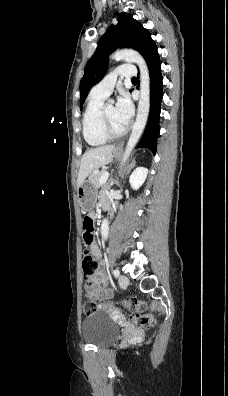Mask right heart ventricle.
<instances>
[{
    "label": "right heart ventricle",
    "mask_w": 228,
    "mask_h": 396,
    "mask_svg": "<svg viewBox=\"0 0 228 396\" xmlns=\"http://www.w3.org/2000/svg\"><path fill=\"white\" fill-rule=\"evenodd\" d=\"M104 97L90 93L82 120V131L85 141L93 147H99L108 142L103 134L100 121V113L104 103Z\"/></svg>",
    "instance_id": "right-heart-ventricle-1"
}]
</instances>
